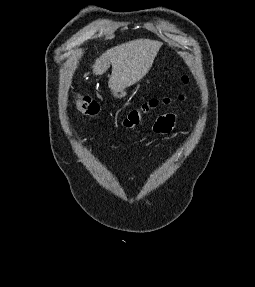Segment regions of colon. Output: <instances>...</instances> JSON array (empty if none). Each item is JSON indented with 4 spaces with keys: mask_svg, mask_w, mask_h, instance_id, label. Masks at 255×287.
Masks as SVG:
<instances>
[{
    "mask_svg": "<svg viewBox=\"0 0 255 287\" xmlns=\"http://www.w3.org/2000/svg\"><path fill=\"white\" fill-rule=\"evenodd\" d=\"M184 83L188 82V78L183 76ZM184 96H180L183 99ZM170 103L169 99L157 100L152 99L148 102L142 104L139 108L131 110L124 118L123 124L126 128L134 129L136 128L144 116L156 110L161 105H168ZM75 105L77 109L85 116L96 118L100 113V106L98 102L89 96L77 95L75 98Z\"/></svg>",
    "mask_w": 255,
    "mask_h": 287,
    "instance_id": "colon-1",
    "label": "colon"
}]
</instances>
